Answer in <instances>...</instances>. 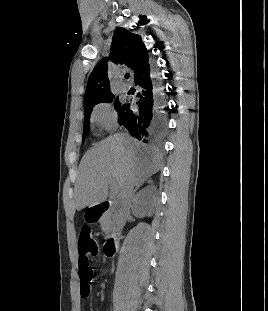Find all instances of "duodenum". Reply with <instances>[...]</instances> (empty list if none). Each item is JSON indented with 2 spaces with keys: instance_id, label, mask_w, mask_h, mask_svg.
<instances>
[{
  "instance_id": "410a0bca",
  "label": "duodenum",
  "mask_w": 268,
  "mask_h": 311,
  "mask_svg": "<svg viewBox=\"0 0 268 311\" xmlns=\"http://www.w3.org/2000/svg\"><path fill=\"white\" fill-rule=\"evenodd\" d=\"M109 208L110 203L108 201L95 204L89 210L90 221L93 223L100 222L108 212ZM119 244H120L119 235L117 233L111 234L104 243L103 249L105 254L107 256H113L117 252Z\"/></svg>"
}]
</instances>
